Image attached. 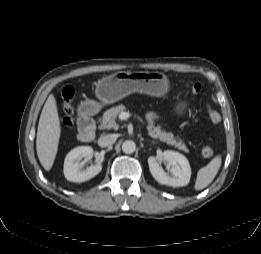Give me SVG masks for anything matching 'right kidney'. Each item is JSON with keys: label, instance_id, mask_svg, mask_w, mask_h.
Here are the masks:
<instances>
[{"label": "right kidney", "instance_id": "obj_1", "mask_svg": "<svg viewBox=\"0 0 261 254\" xmlns=\"http://www.w3.org/2000/svg\"><path fill=\"white\" fill-rule=\"evenodd\" d=\"M93 155V148L90 146H80L71 150L64 161V176L71 182H84L96 176L102 170V165H91L86 170H82L83 158H90Z\"/></svg>", "mask_w": 261, "mask_h": 254}]
</instances>
